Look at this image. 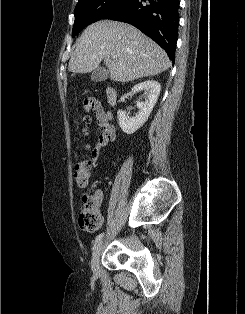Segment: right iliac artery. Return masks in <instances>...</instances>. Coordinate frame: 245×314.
Listing matches in <instances>:
<instances>
[{
	"label": "right iliac artery",
	"instance_id": "82829eb1",
	"mask_svg": "<svg viewBox=\"0 0 245 314\" xmlns=\"http://www.w3.org/2000/svg\"><path fill=\"white\" fill-rule=\"evenodd\" d=\"M103 236H104V233L97 235L95 238V243L99 242L103 238Z\"/></svg>",
	"mask_w": 245,
	"mask_h": 314
}]
</instances>
